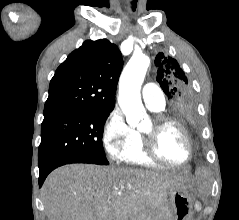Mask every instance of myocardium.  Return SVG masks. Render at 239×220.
<instances>
[{"label":"myocardium","instance_id":"myocardium-1","mask_svg":"<svg viewBox=\"0 0 239 220\" xmlns=\"http://www.w3.org/2000/svg\"><path fill=\"white\" fill-rule=\"evenodd\" d=\"M149 120L151 124L150 129L147 131L140 129L143 149L146 155L156 162H160L162 164H166L169 166L179 167V166H183L187 164L192 158V143H191V139L186 127L179 121L162 114L154 115ZM167 126L176 127L181 132L185 140V143L187 146V157L184 161L174 162V161L168 160L167 158L163 157L158 151L157 135L160 130H162L163 128Z\"/></svg>","mask_w":239,"mask_h":220}]
</instances>
